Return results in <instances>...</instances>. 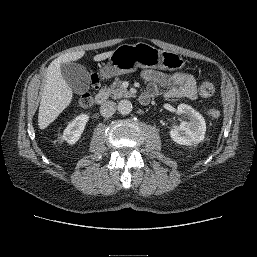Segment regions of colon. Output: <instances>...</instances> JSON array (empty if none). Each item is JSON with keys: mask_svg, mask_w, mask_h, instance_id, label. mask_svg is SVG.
Segmentation results:
<instances>
[{"mask_svg": "<svg viewBox=\"0 0 257 257\" xmlns=\"http://www.w3.org/2000/svg\"><path fill=\"white\" fill-rule=\"evenodd\" d=\"M99 86V79L97 77L92 78V88L97 89ZM199 92L204 97L212 96L215 92V86L213 83L209 81H204L201 83L199 87ZM93 98L90 93H85L81 95L78 99V104L81 107H89L92 105ZM208 115L213 118L217 119L220 116V111L216 108H212L208 111Z\"/></svg>", "mask_w": 257, "mask_h": 257, "instance_id": "obj_1", "label": "colon"}]
</instances>
